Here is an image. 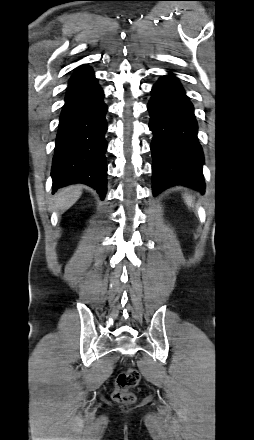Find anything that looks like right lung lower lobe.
Instances as JSON below:
<instances>
[{
	"label": "right lung lower lobe",
	"instance_id": "98d812e1",
	"mask_svg": "<svg viewBox=\"0 0 254 440\" xmlns=\"http://www.w3.org/2000/svg\"><path fill=\"white\" fill-rule=\"evenodd\" d=\"M103 96L93 70L79 66L69 80L60 116L51 170L53 192L84 183L105 197L107 106Z\"/></svg>",
	"mask_w": 254,
	"mask_h": 440
}]
</instances>
